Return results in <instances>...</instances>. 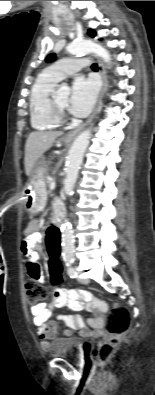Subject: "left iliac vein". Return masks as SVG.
<instances>
[{"instance_id":"left-iliac-vein-1","label":"left iliac vein","mask_w":155,"mask_h":395,"mask_svg":"<svg viewBox=\"0 0 155 395\" xmlns=\"http://www.w3.org/2000/svg\"><path fill=\"white\" fill-rule=\"evenodd\" d=\"M78 281H79L80 283H82V284H88V283H89V280H88V279H84V278H81V277H78Z\"/></svg>"}]
</instances>
